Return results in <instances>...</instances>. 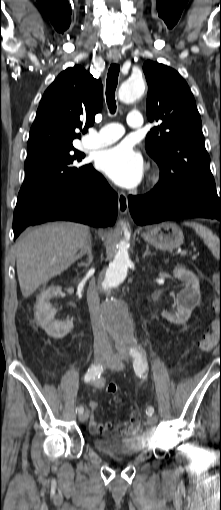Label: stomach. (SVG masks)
<instances>
[{
  "label": "stomach",
  "mask_w": 221,
  "mask_h": 510,
  "mask_svg": "<svg viewBox=\"0 0 221 510\" xmlns=\"http://www.w3.org/2000/svg\"><path fill=\"white\" fill-rule=\"evenodd\" d=\"M142 237L154 247L168 251L178 248L184 239L182 230L176 224L169 222L153 226L143 232Z\"/></svg>",
  "instance_id": "0dacf381"
}]
</instances>
